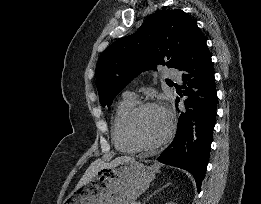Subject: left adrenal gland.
I'll list each match as a JSON object with an SVG mask.
<instances>
[{"instance_id": "a2214340", "label": "left adrenal gland", "mask_w": 261, "mask_h": 204, "mask_svg": "<svg viewBox=\"0 0 261 204\" xmlns=\"http://www.w3.org/2000/svg\"><path fill=\"white\" fill-rule=\"evenodd\" d=\"M167 186H169V183H167L166 185H164L163 187L159 188L158 190L154 191L147 199L146 201H148L149 199H151L154 195H156L157 193H159L160 191H162L164 188H166ZM145 204V202H144Z\"/></svg>"}]
</instances>
